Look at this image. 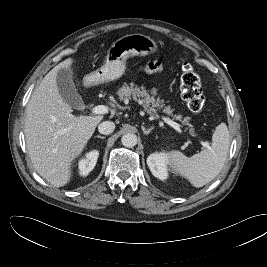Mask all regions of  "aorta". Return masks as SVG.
I'll return each mask as SVG.
<instances>
[{
	"mask_svg": "<svg viewBox=\"0 0 267 267\" xmlns=\"http://www.w3.org/2000/svg\"><path fill=\"white\" fill-rule=\"evenodd\" d=\"M121 143L127 148H132L137 144V136L133 133H126L122 136Z\"/></svg>",
	"mask_w": 267,
	"mask_h": 267,
	"instance_id": "obj_1",
	"label": "aorta"
}]
</instances>
